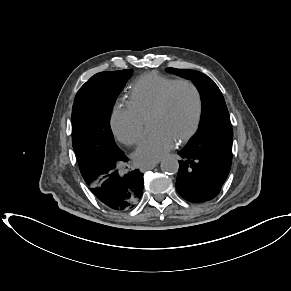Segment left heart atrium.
I'll return each instance as SVG.
<instances>
[{
    "mask_svg": "<svg viewBox=\"0 0 291 291\" xmlns=\"http://www.w3.org/2000/svg\"><path fill=\"white\" fill-rule=\"evenodd\" d=\"M177 140L167 132H157L145 138L135 150L133 157L138 164L156 163L176 146Z\"/></svg>",
    "mask_w": 291,
    "mask_h": 291,
    "instance_id": "left-heart-atrium-1",
    "label": "left heart atrium"
}]
</instances>
